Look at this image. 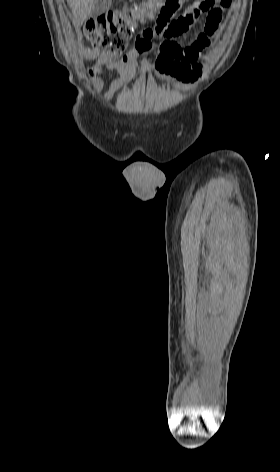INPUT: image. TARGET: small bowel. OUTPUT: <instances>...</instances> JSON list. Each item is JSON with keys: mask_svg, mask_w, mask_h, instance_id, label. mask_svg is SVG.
Returning <instances> with one entry per match:
<instances>
[{"mask_svg": "<svg viewBox=\"0 0 280 472\" xmlns=\"http://www.w3.org/2000/svg\"><path fill=\"white\" fill-rule=\"evenodd\" d=\"M202 1H194L176 19L167 22L157 21L155 27L144 29L136 37L134 48L120 59L112 58L98 49L84 48L82 50L83 56L93 61L89 75L96 91H101L103 88L104 83L100 77L103 70L115 71L118 74L104 94L106 102L110 101L120 88L136 78L139 56L153 48V39L155 38H158L159 42L156 44L158 54L153 63L154 73L170 81L179 89H188L197 81L202 73L201 65L198 62L199 56L210 45L219 22L215 24L206 22L203 32L190 46L182 47L176 40L188 32L207 11L201 7Z\"/></svg>", "mask_w": 280, "mask_h": 472, "instance_id": "small-bowel-1", "label": "small bowel"}]
</instances>
